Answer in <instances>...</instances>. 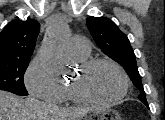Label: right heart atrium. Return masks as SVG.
Segmentation results:
<instances>
[{
  "instance_id": "right-heart-atrium-1",
  "label": "right heart atrium",
  "mask_w": 165,
  "mask_h": 120,
  "mask_svg": "<svg viewBox=\"0 0 165 120\" xmlns=\"http://www.w3.org/2000/svg\"><path fill=\"white\" fill-rule=\"evenodd\" d=\"M25 85L29 93L39 99L50 102L62 101L63 85L50 74L38 56L27 68Z\"/></svg>"
}]
</instances>
